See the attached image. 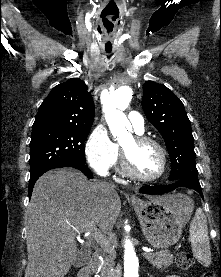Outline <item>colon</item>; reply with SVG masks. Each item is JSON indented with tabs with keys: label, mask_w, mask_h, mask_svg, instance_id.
<instances>
[{
	"label": "colon",
	"mask_w": 221,
	"mask_h": 277,
	"mask_svg": "<svg viewBox=\"0 0 221 277\" xmlns=\"http://www.w3.org/2000/svg\"><path fill=\"white\" fill-rule=\"evenodd\" d=\"M176 265L181 269H189L194 264V258L189 252L180 251L175 258ZM200 277H216L211 271L203 272Z\"/></svg>",
	"instance_id": "1"
}]
</instances>
